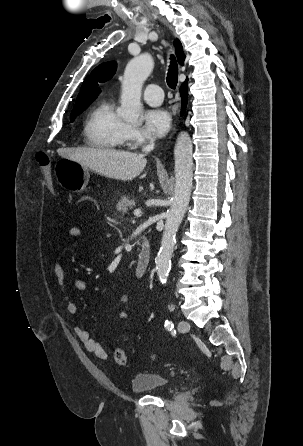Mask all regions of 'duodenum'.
Segmentation results:
<instances>
[{
    "label": "duodenum",
    "instance_id": "duodenum-1",
    "mask_svg": "<svg viewBox=\"0 0 303 446\" xmlns=\"http://www.w3.org/2000/svg\"><path fill=\"white\" fill-rule=\"evenodd\" d=\"M151 262V246L147 239H144L137 258L135 272L138 276L144 275Z\"/></svg>",
    "mask_w": 303,
    "mask_h": 446
}]
</instances>
